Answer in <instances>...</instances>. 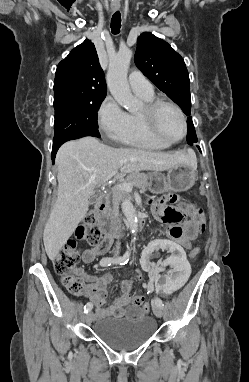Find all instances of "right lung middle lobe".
Listing matches in <instances>:
<instances>
[{
    "mask_svg": "<svg viewBox=\"0 0 249 382\" xmlns=\"http://www.w3.org/2000/svg\"><path fill=\"white\" fill-rule=\"evenodd\" d=\"M105 97L55 106L53 143L79 135L100 137L97 111Z\"/></svg>",
    "mask_w": 249,
    "mask_h": 382,
    "instance_id": "right-lung-middle-lobe-1",
    "label": "right lung middle lobe"
}]
</instances>
